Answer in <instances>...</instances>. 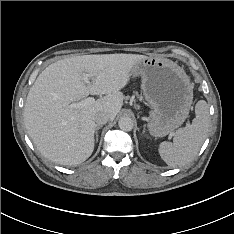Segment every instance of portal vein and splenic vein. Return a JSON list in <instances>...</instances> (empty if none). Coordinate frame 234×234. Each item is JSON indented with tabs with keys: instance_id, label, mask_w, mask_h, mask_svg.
<instances>
[{
	"instance_id": "portal-vein-and-splenic-vein-1",
	"label": "portal vein and splenic vein",
	"mask_w": 234,
	"mask_h": 234,
	"mask_svg": "<svg viewBox=\"0 0 234 234\" xmlns=\"http://www.w3.org/2000/svg\"><path fill=\"white\" fill-rule=\"evenodd\" d=\"M89 74H83V80L85 83L89 84ZM95 102V99L93 97H88L78 103H72L69 105L71 109H81L87 105L93 104Z\"/></svg>"
}]
</instances>
